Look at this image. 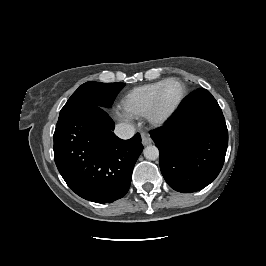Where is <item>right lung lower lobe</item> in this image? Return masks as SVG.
Wrapping results in <instances>:
<instances>
[{"label":"right lung lower lobe","instance_id":"obj_1","mask_svg":"<svg viewBox=\"0 0 266 266\" xmlns=\"http://www.w3.org/2000/svg\"><path fill=\"white\" fill-rule=\"evenodd\" d=\"M105 109L85 105L56 125L54 159L67 185L96 203L122 198L131 183L134 165L143 150L141 136L118 138Z\"/></svg>","mask_w":266,"mask_h":266}]
</instances>
